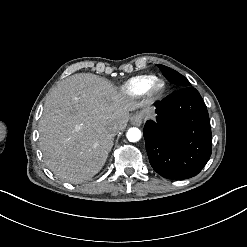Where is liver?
Wrapping results in <instances>:
<instances>
[{
    "instance_id": "6515ba94",
    "label": "liver",
    "mask_w": 247,
    "mask_h": 247,
    "mask_svg": "<svg viewBox=\"0 0 247 247\" xmlns=\"http://www.w3.org/2000/svg\"><path fill=\"white\" fill-rule=\"evenodd\" d=\"M140 103L105 77L77 73L48 95L39 120L45 165L59 179L78 183L98 173L113 146L109 128L127 127Z\"/></svg>"
}]
</instances>
